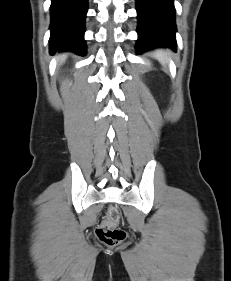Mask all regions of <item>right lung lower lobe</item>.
Returning <instances> with one entry per match:
<instances>
[{"label": "right lung lower lobe", "mask_w": 231, "mask_h": 281, "mask_svg": "<svg viewBox=\"0 0 231 281\" xmlns=\"http://www.w3.org/2000/svg\"><path fill=\"white\" fill-rule=\"evenodd\" d=\"M50 8L51 54L59 50L85 55L83 34L87 0H52Z\"/></svg>", "instance_id": "obj_1"}]
</instances>
